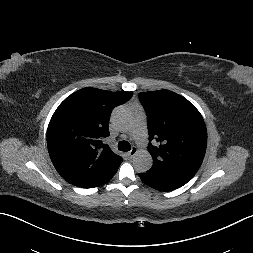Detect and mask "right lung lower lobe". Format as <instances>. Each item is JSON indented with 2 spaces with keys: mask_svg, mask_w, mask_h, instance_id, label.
I'll list each match as a JSON object with an SVG mask.
<instances>
[{
  "mask_svg": "<svg viewBox=\"0 0 253 253\" xmlns=\"http://www.w3.org/2000/svg\"><path fill=\"white\" fill-rule=\"evenodd\" d=\"M116 172H117V171H116ZM116 172H115V173H116ZM115 173L111 176V178L115 175ZM111 178H110V179H111Z\"/></svg>",
  "mask_w": 253,
  "mask_h": 253,
  "instance_id": "98d812e1",
  "label": "right lung lower lobe"
}]
</instances>
